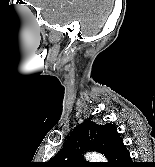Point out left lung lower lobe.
Returning <instances> with one entry per match:
<instances>
[{"mask_svg": "<svg viewBox=\"0 0 155 167\" xmlns=\"http://www.w3.org/2000/svg\"><path fill=\"white\" fill-rule=\"evenodd\" d=\"M126 164H131V157L127 151L123 141L116 148L113 157L108 167H126Z\"/></svg>", "mask_w": 155, "mask_h": 167, "instance_id": "obj_1", "label": "left lung lower lobe"}]
</instances>
